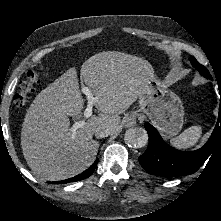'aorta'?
I'll list each match as a JSON object with an SVG mask.
<instances>
[{"label": "aorta", "mask_w": 221, "mask_h": 221, "mask_svg": "<svg viewBox=\"0 0 221 221\" xmlns=\"http://www.w3.org/2000/svg\"><path fill=\"white\" fill-rule=\"evenodd\" d=\"M124 141L133 148L144 147L148 142L147 131L141 127L130 128L125 132Z\"/></svg>", "instance_id": "obj_1"}]
</instances>
